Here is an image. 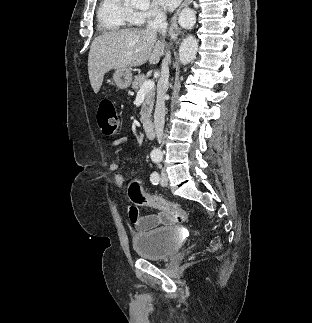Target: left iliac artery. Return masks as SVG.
I'll list each match as a JSON object with an SVG mask.
<instances>
[{"label": "left iliac artery", "mask_w": 312, "mask_h": 323, "mask_svg": "<svg viewBox=\"0 0 312 323\" xmlns=\"http://www.w3.org/2000/svg\"><path fill=\"white\" fill-rule=\"evenodd\" d=\"M153 161L156 163H159L161 161V158H153ZM159 174L157 172H153L151 174L150 180L152 182V184L157 185L159 182Z\"/></svg>", "instance_id": "left-iliac-artery-1"}]
</instances>
